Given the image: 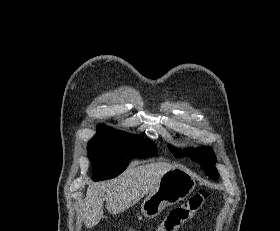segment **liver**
<instances>
[{
	"label": "liver",
	"mask_w": 280,
	"mask_h": 231,
	"mask_svg": "<svg viewBox=\"0 0 280 231\" xmlns=\"http://www.w3.org/2000/svg\"><path fill=\"white\" fill-rule=\"evenodd\" d=\"M172 167L173 165L165 161L137 165V167L129 165L115 179L91 183L81 203V215L86 227H93L99 223L103 217L104 201H107V209L110 213H120L140 201L146 193L153 191L162 175Z\"/></svg>",
	"instance_id": "6515ba94"
}]
</instances>
